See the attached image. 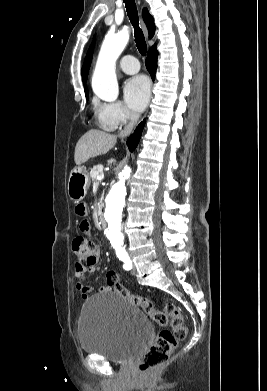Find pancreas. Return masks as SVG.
I'll list each match as a JSON object with an SVG mask.
<instances>
[{
	"instance_id": "pancreas-1",
	"label": "pancreas",
	"mask_w": 267,
	"mask_h": 391,
	"mask_svg": "<svg viewBox=\"0 0 267 391\" xmlns=\"http://www.w3.org/2000/svg\"><path fill=\"white\" fill-rule=\"evenodd\" d=\"M102 172H103V166L101 164H98L91 169L90 176H91L92 180L94 181V183H96V184L99 183V181L97 180V176L101 175Z\"/></svg>"
}]
</instances>
